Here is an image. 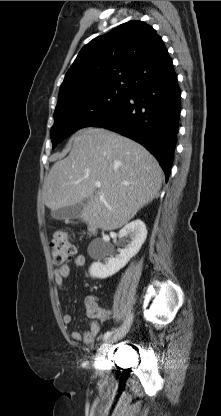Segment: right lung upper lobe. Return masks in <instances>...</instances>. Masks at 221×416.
<instances>
[{
  "mask_svg": "<svg viewBox=\"0 0 221 416\" xmlns=\"http://www.w3.org/2000/svg\"><path fill=\"white\" fill-rule=\"evenodd\" d=\"M172 71V60L155 30L129 21L81 49L60 86L57 106L99 91L132 90Z\"/></svg>",
  "mask_w": 221,
  "mask_h": 416,
  "instance_id": "obj_1",
  "label": "right lung upper lobe"
}]
</instances>
